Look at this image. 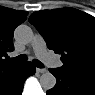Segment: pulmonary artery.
Instances as JSON below:
<instances>
[{"instance_id": "e3ab8cb5", "label": "pulmonary artery", "mask_w": 95, "mask_h": 95, "mask_svg": "<svg viewBox=\"0 0 95 95\" xmlns=\"http://www.w3.org/2000/svg\"><path fill=\"white\" fill-rule=\"evenodd\" d=\"M32 48L36 56L51 67H59L61 62L56 56L48 52L46 42L40 34H36L32 40Z\"/></svg>"}]
</instances>
